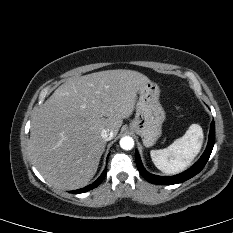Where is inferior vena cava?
<instances>
[{"mask_svg":"<svg viewBox=\"0 0 233 233\" xmlns=\"http://www.w3.org/2000/svg\"><path fill=\"white\" fill-rule=\"evenodd\" d=\"M101 137L105 140V141H109L113 138V132L110 129H103L101 131Z\"/></svg>","mask_w":233,"mask_h":233,"instance_id":"602c4592","label":"inferior vena cava"}]
</instances>
